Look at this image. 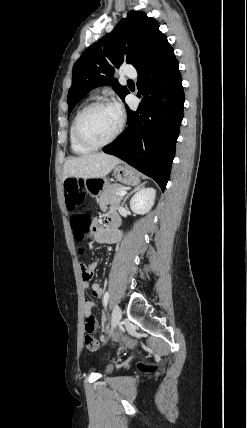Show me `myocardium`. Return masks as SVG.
Returning <instances> with one entry per match:
<instances>
[{"instance_id": "obj_1", "label": "myocardium", "mask_w": 247, "mask_h": 428, "mask_svg": "<svg viewBox=\"0 0 247 428\" xmlns=\"http://www.w3.org/2000/svg\"><path fill=\"white\" fill-rule=\"evenodd\" d=\"M100 107H111V104L105 100L94 101V102L90 103L89 105H87L79 113V115L77 116V118L75 120V124H74L75 138L81 145H83L87 148L99 149V148H103V147L113 143L117 139V137L119 136V134L121 133L122 128H123V120H122V118H119L118 124H117V127H116L114 133L107 140H105L101 143H94V142L88 140L87 138H85L84 135L82 134V131H81L82 121H83L84 117L89 112H91L92 110H94L96 108H100Z\"/></svg>"}]
</instances>
